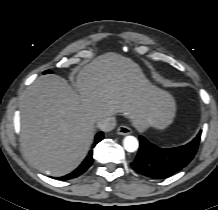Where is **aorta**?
I'll use <instances>...</instances> for the list:
<instances>
[{
    "mask_svg": "<svg viewBox=\"0 0 218 210\" xmlns=\"http://www.w3.org/2000/svg\"><path fill=\"white\" fill-rule=\"evenodd\" d=\"M123 146L128 152H135L139 147V142L134 136H126L123 140Z\"/></svg>",
    "mask_w": 218,
    "mask_h": 210,
    "instance_id": "obj_1",
    "label": "aorta"
}]
</instances>
